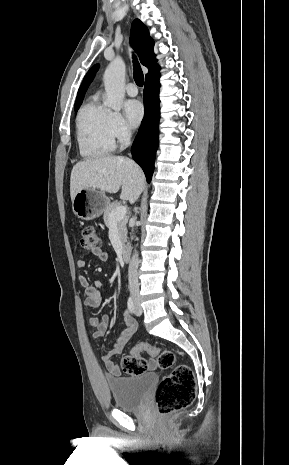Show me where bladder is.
<instances>
[{
    "instance_id": "bladder-1",
    "label": "bladder",
    "mask_w": 289,
    "mask_h": 465,
    "mask_svg": "<svg viewBox=\"0 0 289 465\" xmlns=\"http://www.w3.org/2000/svg\"><path fill=\"white\" fill-rule=\"evenodd\" d=\"M154 373L139 377H117L107 380L116 407L123 410H137L141 408L156 383Z\"/></svg>"
}]
</instances>
